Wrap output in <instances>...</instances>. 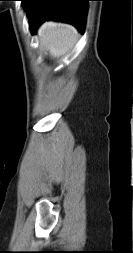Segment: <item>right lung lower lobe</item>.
Masks as SVG:
<instances>
[{"mask_svg":"<svg viewBox=\"0 0 133 253\" xmlns=\"http://www.w3.org/2000/svg\"><path fill=\"white\" fill-rule=\"evenodd\" d=\"M89 0H30L26 6L32 33L46 20L74 25L83 32Z\"/></svg>","mask_w":133,"mask_h":253,"instance_id":"98d812e1","label":"right lung lower lobe"}]
</instances>
